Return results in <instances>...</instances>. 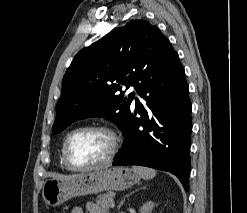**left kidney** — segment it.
<instances>
[{"label": "left kidney", "mask_w": 247, "mask_h": 213, "mask_svg": "<svg viewBox=\"0 0 247 213\" xmlns=\"http://www.w3.org/2000/svg\"><path fill=\"white\" fill-rule=\"evenodd\" d=\"M154 207L153 202H147L140 208V213H151Z\"/></svg>", "instance_id": "obj_1"}]
</instances>
